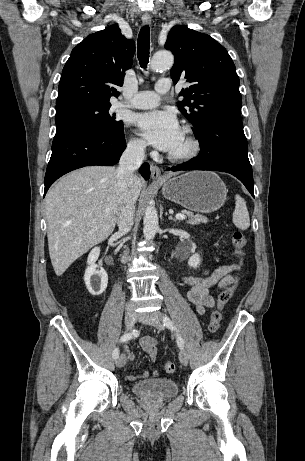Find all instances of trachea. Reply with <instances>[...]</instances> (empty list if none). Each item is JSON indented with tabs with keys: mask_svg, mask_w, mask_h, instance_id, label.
I'll return each instance as SVG.
<instances>
[{
	"mask_svg": "<svg viewBox=\"0 0 305 461\" xmlns=\"http://www.w3.org/2000/svg\"><path fill=\"white\" fill-rule=\"evenodd\" d=\"M150 29L148 25L141 28L137 42V57L142 68H146L149 61Z\"/></svg>",
	"mask_w": 305,
	"mask_h": 461,
	"instance_id": "1",
	"label": "trachea"
}]
</instances>
